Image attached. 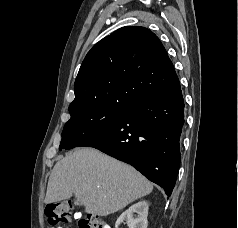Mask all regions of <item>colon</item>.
Here are the masks:
<instances>
[{
	"instance_id": "obj_1",
	"label": "colon",
	"mask_w": 238,
	"mask_h": 228,
	"mask_svg": "<svg viewBox=\"0 0 238 228\" xmlns=\"http://www.w3.org/2000/svg\"><path fill=\"white\" fill-rule=\"evenodd\" d=\"M45 215L52 227H56L59 224H69L75 220L79 228H110L99 216L74 212V207L69 202H57L47 205Z\"/></svg>"
}]
</instances>
